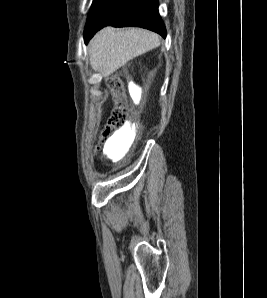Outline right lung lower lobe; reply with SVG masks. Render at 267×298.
I'll use <instances>...</instances> for the list:
<instances>
[{"label":"right lung lower lobe","mask_w":267,"mask_h":298,"mask_svg":"<svg viewBox=\"0 0 267 298\" xmlns=\"http://www.w3.org/2000/svg\"><path fill=\"white\" fill-rule=\"evenodd\" d=\"M158 0H108L98 15L84 29L87 43L101 28L138 26L166 37V29L158 12Z\"/></svg>","instance_id":"98d812e1"}]
</instances>
